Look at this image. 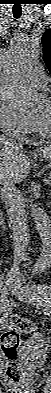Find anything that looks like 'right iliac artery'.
I'll return each mask as SVG.
<instances>
[{
  "instance_id": "1",
  "label": "right iliac artery",
  "mask_w": 51,
  "mask_h": 393,
  "mask_svg": "<svg viewBox=\"0 0 51 393\" xmlns=\"http://www.w3.org/2000/svg\"><path fill=\"white\" fill-rule=\"evenodd\" d=\"M1 304L2 305H4L5 307H7V305H8V300H7V297H1ZM3 310H6V309H3Z\"/></svg>"
}]
</instances>
